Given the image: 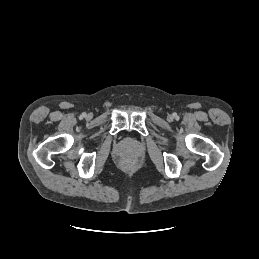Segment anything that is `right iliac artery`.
Returning a JSON list of instances; mask_svg holds the SVG:
<instances>
[{
	"instance_id": "82829eb1",
	"label": "right iliac artery",
	"mask_w": 259,
	"mask_h": 259,
	"mask_svg": "<svg viewBox=\"0 0 259 259\" xmlns=\"http://www.w3.org/2000/svg\"><path fill=\"white\" fill-rule=\"evenodd\" d=\"M86 116V113H82L80 118H84Z\"/></svg>"
}]
</instances>
